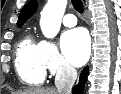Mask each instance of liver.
I'll return each instance as SVG.
<instances>
[{
	"label": "liver",
	"mask_w": 121,
	"mask_h": 94,
	"mask_svg": "<svg viewBox=\"0 0 121 94\" xmlns=\"http://www.w3.org/2000/svg\"><path fill=\"white\" fill-rule=\"evenodd\" d=\"M18 94H59V92L53 88H32L20 91Z\"/></svg>",
	"instance_id": "liver-1"
}]
</instances>
